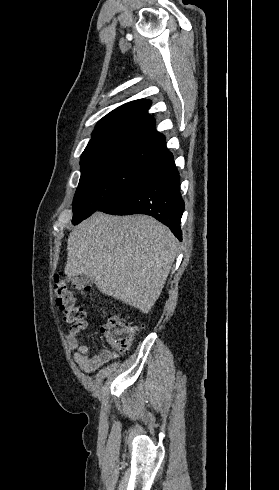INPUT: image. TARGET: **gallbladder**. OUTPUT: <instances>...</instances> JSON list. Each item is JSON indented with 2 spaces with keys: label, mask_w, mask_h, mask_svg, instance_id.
I'll return each instance as SVG.
<instances>
[{
  "label": "gallbladder",
  "mask_w": 279,
  "mask_h": 490,
  "mask_svg": "<svg viewBox=\"0 0 279 490\" xmlns=\"http://www.w3.org/2000/svg\"><path fill=\"white\" fill-rule=\"evenodd\" d=\"M79 282L80 284H83V286H91V284H94V280L89 278V276H80Z\"/></svg>",
  "instance_id": "1"
}]
</instances>
